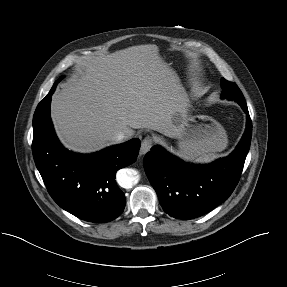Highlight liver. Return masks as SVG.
Instances as JSON below:
<instances>
[{
	"mask_svg": "<svg viewBox=\"0 0 287 287\" xmlns=\"http://www.w3.org/2000/svg\"><path fill=\"white\" fill-rule=\"evenodd\" d=\"M188 102L177 73L147 44L79 60L77 74L52 96L51 118L66 148L90 153L133 129L176 138Z\"/></svg>",
	"mask_w": 287,
	"mask_h": 287,
	"instance_id": "6515ba94",
	"label": "liver"
}]
</instances>
